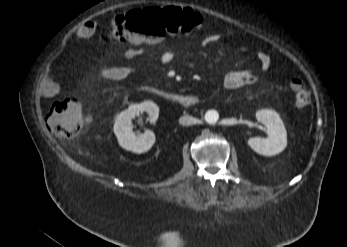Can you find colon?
<instances>
[{"label": "colon", "instance_id": "5ec220e1", "mask_svg": "<svg viewBox=\"0 0 347 247\" xmlns=\"http://www.w3.org/2000/svg\"><path fill=\"white\" fill-rule=\"evenodd\" d=\"M201 14L178 7H150L117 15L112 21L113 36L117 42L131 39L134 42L157 43L168 34L188 33L201 25ZM297 106L303 107L311 100L310 91L300 78L291 83ZM50 131L59 138H75L88 126L81 105L72 97L55 100L48 112Z\"/></svg>", "mask_w": 347, "mask_h": 247}]
</instances>
